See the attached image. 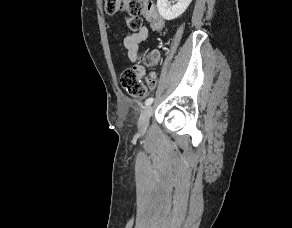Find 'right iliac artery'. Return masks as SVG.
<instances>
[{"label": "right iliac artery", "mask_w": 292, "mask_h": 228, "mask_svg": "<svg viewBox=\"0 0 292 228\" xmlns=\"http://www.w3.org/2000/svg\"><path fill=\"white\" fill-rule=\"evenodd\" d=\"M152 102H153V98L151 97V98H148L146 101H145V105L146 106H149L150 104H152Z\"/></svg>", "instance_id": "right-iliac-artery-1"}]
</instances>
